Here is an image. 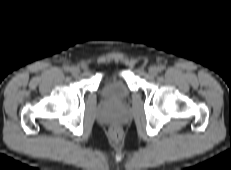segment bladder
<instances>
[{
  "mask_svg": "<svg viewBox=\"0 0 231 170\" xmlns=\"http://www.w3.org/2000/svg\"><path fill=\"white\" fill-rule=\"evenodd\" d=\"M101 93L107 101L116 104L124 103L130 95L127 84L119 77L105 79L101 86Z\"/></svg>",
  "mask_w": 231,
  "mask_h": 170,
  "instance_id": "1",
  "label": "bladder"
}]
</instances>
